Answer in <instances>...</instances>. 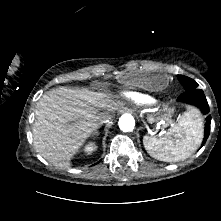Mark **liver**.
Here are the masks:
<instances>
[{
	"label": "liver",
	"instance_id": "6515ba94",
	"mask_svg": "<svg viewBox=\"0 0 221 221\" xmlns=\"http://www.w3.org/2000/svg\"><path fill=\"white\" fill-rule=\"evenodd\" d=\"M118 102L106 92L59 87L37 102L33 124L36 151L54 166L70 168L71 159L100 126L98 117H111Z\"/></svg>",
	"mask_w": 221,
	"mask_h": 221
}]
</instances>
